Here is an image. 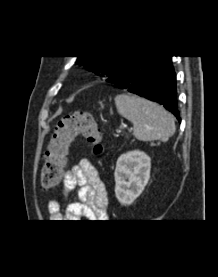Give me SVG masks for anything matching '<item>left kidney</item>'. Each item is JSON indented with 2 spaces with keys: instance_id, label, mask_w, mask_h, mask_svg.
Wrapping results in <instances>:
<instances>
[{
  "instance_id": "5707ae66",
  "label": "left kidney",
  "mask_w": 218,
  "mask_h": 277,
  "mask_svg": "<svg viewBox=\"0 0 218 277\" xmlns=\"http://www.w3.org/2000/svg\"><path fill=\"white\" fill-rule=\"evenodd\" d=\"M151 159L141 151L122 154L114 172L115 195L121 204H131L144 190L150 178Z\"/></svg>"
}]
</instances>
